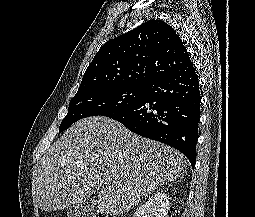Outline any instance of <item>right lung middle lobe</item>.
I'll return each instance as SVG.
<instances>
[{"label":"right lung middle lobe","mask_w":255,"mask_h":217,"mask_svg":"<svg viewBox=\"0 0 255 217\" xmlns=\"http://www.w3.org/2000/svg\"><path fill=\"white\" fill-rule=\"evenodd\" d=\"M146 86L117 85L78 91L69 103L66 117L59 132L66 130L76 121L90 116H106L127 109L143 95Z\"/></svg>","instance_id":"right-lung-middle-lobe-1"}]
</instances>
